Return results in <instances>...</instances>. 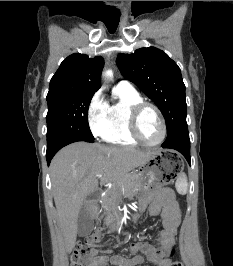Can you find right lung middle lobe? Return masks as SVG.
<instances>
[{"instance_id": "dd1d6c3e", "label": "right lung middle lobe", "mask_w": 233, "mask_h": 266, "mask_svg": "<svg viewBox=\"0 0 233 266\" xmlns=\"http://www.w3.org/2000/svg\"><path fill=\"white\" fill-rule=\"evenodd\" d=\"M94 93H76L47 99V150L79 138L94 140L88 108Z\"/></svg>"}]
</instances>
